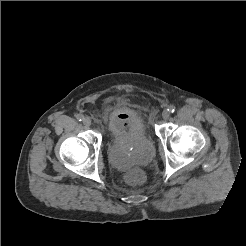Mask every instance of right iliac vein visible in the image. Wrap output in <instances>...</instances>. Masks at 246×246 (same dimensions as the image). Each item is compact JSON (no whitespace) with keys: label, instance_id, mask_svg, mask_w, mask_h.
Wrapping results in <instances>:
<instances>
[{"label":"right iliac vein","instance_id":"obj_1","mask_svg":"<svg viewBox=\"0 0 246 246\" xmlns=\"http://www.w3.org/2000/svg\"><path fill=\"white\" fill-rule=\"evenodd\" d=\"M83 124H84L85 126H90V125H91V119H90L89 117H85V118L83 119Z\"/></svg>","mask_w":246,"mask_h":246}]
</instances>
